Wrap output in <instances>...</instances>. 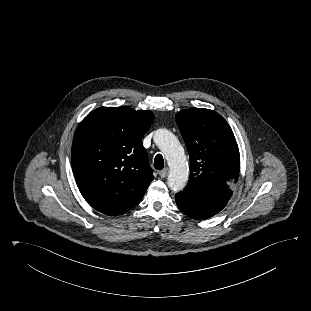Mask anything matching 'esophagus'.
<instances>
[{
  "mask_svg": "<svg viewBox=\"0 0 311 311\" xmlns=\"http://www.w3.org/2000/svg\"><path fill=\"white\" fill-rule=\"evenodd\" d=\"M168 173H169L168 168H165V169L159 171V175L161 178H166L168 176Z\"/></svg>",
  "mask_w": 311,
  "mask_h": 311,
  "instance_id": "34e87169",
  "label": "esophagus"
}]
</instances>
